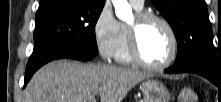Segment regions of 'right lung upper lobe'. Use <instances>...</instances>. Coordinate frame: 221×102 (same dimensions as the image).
Instances as JSON below:
<instances>
[{"label": "right lung upper lobe", "mask_w": 221, "mask_h": 102, "mask_svg": "<svg viewBox=\"0 0 221 102\" xmlns=\"http://www.w3.org/2000/svg\"><path fill=\"white\" fill-rule=\"evenodd\" d=\"M54 1H58V0H40L39 7L45 6V5H47L49 3H52ZM83 1H86V2H88L91 5H103L105 3L104 0H83Z\"/></svg>", "instance_id": "obj_1"}]
</instances>
